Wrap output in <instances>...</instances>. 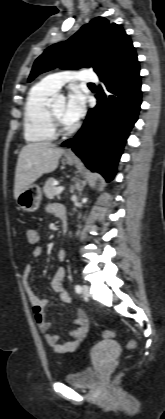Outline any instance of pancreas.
Masks as SVG:
<instances>
[{"label":"pancreas","mask_w":165,"mask_h":419,"mask_svg":"<svg viewBox=\"0 0 165 419\" xmlns=\"http://www.w3.org/2000/svg\"><path fill=\"white\" fill-rule=\"evenodd\" d=\"M54 178H49L45 182V185L43 187L44 194L47 198L53 199L56 196V189L57 187L54 185Z\"/></svg>","instance_id":"1"}]
</instances>
